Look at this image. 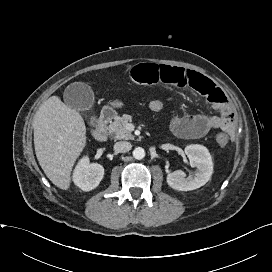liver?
I'll list each match as a JSON object with an SVG mask.
<instances>
[{
    "mask_svg": "<svg viewBox=\"0 0 272 272\" xmlns=\"http://www.w3.org/2000/svg\"><path fill=\"white\" fill-rule=\"evenodd\" d=\"M34 146L46 176L58 188L67 190L71 171L86 145V126L82 116L52 96L35 114Z\"/></svg>",
    "mask_w": 272,
    "mask_h": 272,
    "instance_id": "1",
    "label": "liver"
}]
</instances>
